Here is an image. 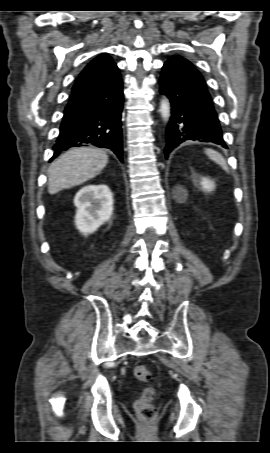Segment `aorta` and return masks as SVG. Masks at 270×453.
I'll use <instances>...</instances> for the list:
<instances>
[{"mask_svg":"<svg viewBox=\"0 0 270 453\" xmlns=\"http://www.w3.org/2000/svg\"><path fill=\"white\" fill-rule=\"evenodd\" d=\"M160 113L164 121H168L170 117V103L166 97H163L160 102Z\"/></svg>","mask_w":270,"mask_h":453,"instance_id":"obj_1","label":"aorta"}]
</instances>
